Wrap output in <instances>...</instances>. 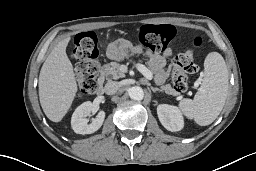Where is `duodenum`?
I'll use <instances>...</instances> for the list:
<instances>
[{"mask_svg": "<svg viewBox=\"0 0 256 171\" xmlns=\"http://www.w3.org/2000/svg\"><path fill=\"white\" fill-rule=\"evenodd\" d=\"M96 92L98 95H102L104 92V73L101 72L99 76V80L96 87Z\"/></svg>", "mask_w": 256, "mask_h": 171, "instance_id": "1", "label": "duodenum"}]
</instances>
